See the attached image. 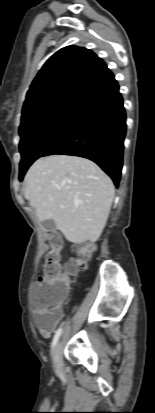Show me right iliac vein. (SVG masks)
I'll return each mask as SVG.
<instances>
[{
  "label": "right iliac vein",
  "instance_id": "63e3f726",
  "mask_svg": "<svg viewBox=\"0 0 155 413\" xmlns=\"http://www.w3.org/2000/svg\"><path fill=\"white\" fill-rule=\"evenodd\" d=\"M53 362H54L55 369L57 371H62L63 359H62V341L61 340H59L54 347Z\"/></svg>",
  "mask_w": 155,
  "mask_h": 413
}]
</instances>
